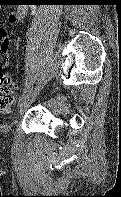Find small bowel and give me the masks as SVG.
<instances>
[{"mask_svg": "<svg viewBox=\"0 0 121 197\" xmlns=\"http://www.w3.org/2000/svg\"><path fill=\"white\" fill-rule=\"evenodd\" d=\"M28 13L27 6L20 4L16 11L10 12L7 15V19L10 23H17L21 19H23ZM0 37L2 39L0 43V52L2 54H6L7 47H8V39L6 33L0 29Z\"/></svg>", "mask_w": 121, "mask_h": 197, "instance_id": "small-bowel-1", "label": "small bowel"}]
</instances>
